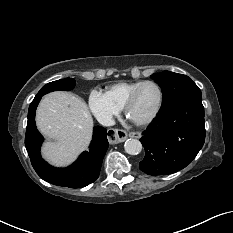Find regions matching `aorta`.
<instances>
[{"instance_id":"1","label":"aorta","mask_w":233,"mask_h":233,"mask_svg":"<svg viewBox=\"0 0 233 233\" xmlns=\"http://www.w3.org/2000/svg\"><path fill=\"white\" fill-rule=\"evenodd\" d=\"M124 149L130 155H137L142 150V144L137 139H128L124 144Z\"/></svg>"}]
</instances>
